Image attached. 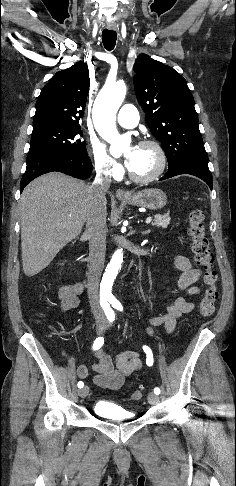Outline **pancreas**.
Listing matches in <instances>:
<instances>
[{"instance_id": "cf45deb5", "label": "pancreas", "mask_w": 236, "mask_h": 486, "mask_svg": "<svg viewBox=\"0 0 236 486\" xmlns=\"http://www.w3.org/2000/svg\"><path fill=\"white\" fill-rule=\"evenodd\" d=\"M169 223H170V217H169L168 214L155 215L153 222H152V225L157 226V227L167 228Z\"/></svg>"}]
</instances>
